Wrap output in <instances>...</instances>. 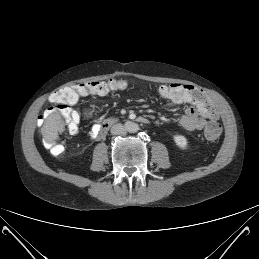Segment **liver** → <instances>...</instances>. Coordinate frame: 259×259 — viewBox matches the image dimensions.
Here are the masks:
<instances>
[{"mask_svg": "<svg viewBox=\"0 0 259 259\" xmlns=\"http://www.w3.org/2000/svg\"><path fill=\"white\" fill-rule=\"evenodd\" d=\"M65 130L64 122L58 112L52 113L44 122L42 127L43 139L53 143L59 138V134Z\"/></svg>", "mask_w": 259, "mask_h": 259, "instance_id": "obj_1", "label": "liver"}]
</instances>
